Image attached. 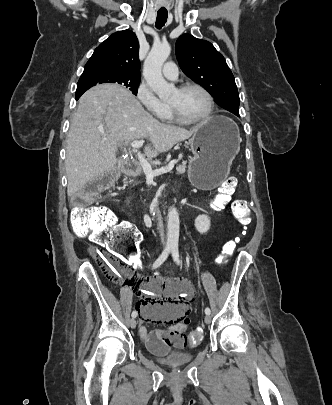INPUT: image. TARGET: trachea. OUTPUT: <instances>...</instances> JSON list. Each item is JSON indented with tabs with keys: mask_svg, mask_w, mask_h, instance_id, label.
<instances>
[{
	"mask_svg": "<svg viewBox=\"0 0 332 405\" xmlns=\"http://www.w3.org/2000/svg\"><path fill=\"white\" fill-rule=\"evenodd\" d=\"M167 17H168V12L166 10H159L157 12V18H156V28L157 29H161L166 21H167Z\"/></svg>",
	"mask_w": 332,
	"mask_h": 405,
	"instance_id": "3493384b",
	"label": "trachea"
}]
</instances>
